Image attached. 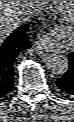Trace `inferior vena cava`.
I'll list each match as a JSON object with an SVG mask.
<instances>
[{
    "mask_svg": "<svg viewBox=\"0 0 74 122\" xmlns=\"http://www.w3.org/2000/svg\"><path fill=\"white\" fill-rule=\"evenodd\" d=\"M38 8H39L38 3H34L31 6H27L25 8H22V10L20 12L21 13L20 18H19L20 23L27 22L31 18L36 16L38 14Z\"/></svg>",
    "mask_w": 74,
    "mask_h": 122,
    "instance_id": "602c4592",
    "label": "inferior vena cava"
}]
</instances>
